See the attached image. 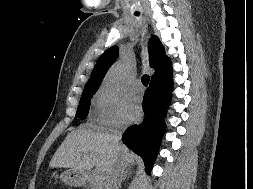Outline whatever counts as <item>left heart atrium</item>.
Listing matches in <instances>:
<instances>
[{
	"label": "left heart atrium",
	"mask_w": 253,
	"mask_h": 189,
	"mask_svg": "<svg viewBox=\"0 0 253 189\" xmlns=\"http://www.w3.org/2000/svg\"><path fill=\"white\" fill-rule=\"evenodd\" d=\"M141 104L140 100L136 97H130L127 99L124 108V117L126 121H136L141 116Z\"/></svg>",
	"instance_id": "39dd6f15"
}]
</instances>
